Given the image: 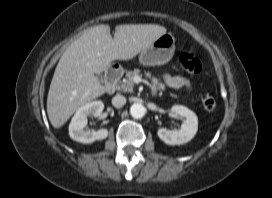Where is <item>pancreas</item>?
I'll return each instance as SVG.
<instances>
[{
    "label": "pancreas",
    "mask_w": 272,
    "mask_h": 198,
    "mask_svg": "<svg viewBox=\"0 0 272 198\" xmlns=\"http://www.w3.org/2000/svg\"><path fill=\"white\" fill-rule=\"evenodd\" d=\"M145 76L150 78L158 87L160 91L165 90V85L161 82L156 77H153L150 71H145L144 72ZM141 70L140 69H134L133 71H128L126 73V77L123 79V83L120 86V89L123 92H133V87H134V78L136 76H141Z\"/></svg>",
    "instance_id": "1"
}]
</instances>
